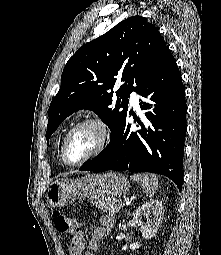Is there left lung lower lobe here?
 Instances as JSON below:
<instances>
[{"instance_id":"0a47b994","label":"left lung lower lobe","mask_w":221,"mask_h":255,"mask_svg":"<svg viewBox=\"0 0 221 255\" xmlns=\"http://www.w3.org/2000/svg\"><path fill=\"white\" fill-rule=\"evenodd\" d=\"M150 93L156 105L153 113H146L150 121L148 128L138 120L139 130L133 131L127 123L129 112L111 134L108 147L79 170L162 174L173 180L181 191L187 105L182 78L168 47L138 91L142 97ZM140 106L150 108L141 100Z\"/></svg>"}]
</instances>
